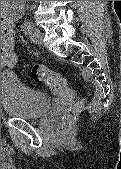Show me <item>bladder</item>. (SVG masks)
<instances>
[{
  "mask_svg": "<svg viewBox=\"0 0 121 169\" xmlns=\"http://www.w3.org/2000/svg\"><path fill=\"white\" fill-rule=\"evenodd\" d=\"M1 105L3 113L15 119L37 120L51 109L52 102L42 92L25 85L16 75H1Z\"/></svg>",
  "mask_w": 121,
  "mask_h": 169,
  "instance_id": "31cf9c89",
  "label": "bladder"
}]
</instances>
